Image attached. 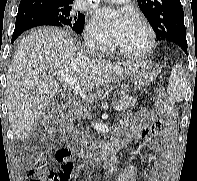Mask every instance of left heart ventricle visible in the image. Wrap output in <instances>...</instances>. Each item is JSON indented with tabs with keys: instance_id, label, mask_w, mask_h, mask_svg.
Returning a JSON list of instances; mask_svg holds the SVG:
<instances>
[{
	"instance_id": "b2bd125f",
	"label": "left heart ventricle",
	"mask_w": 197,
	"mask_h": 181,
	"mask_svg": "<svg viewBox=\"0 0 197 181\" xmlns=\"http://www.w3.org/2000/svg\"><path fill=\"white\" fill-rule=\"evenodd\" d=\"M116 43L124 49L140 51L148 43V33L142 25L130 21L129 25L116 39Z\"/></svg>"
}]
</instances>
